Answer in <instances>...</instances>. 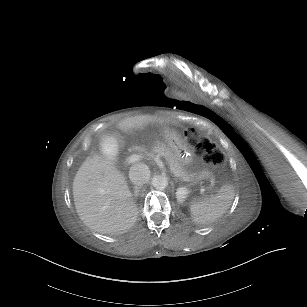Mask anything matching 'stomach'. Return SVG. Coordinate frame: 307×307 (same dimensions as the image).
<instances>
[{
	"mask_svg": "<svg viewBox=\"0 0 307 307\" xmlns=\"http://www.w3.org/2000/svg\"><path fill=\"white\" fill-rule=\"evenodd\" d=\"M164 135L178 162L184 168L188 176L194 178L196 173H194V168L192 167L194 159L193 149L188 144L187 139L178 131L169 128L164 129Z\"/></svg>",
	"mask_w": 307,
	"mask_h": 307,
	"instance_id": "1",
	"label": "stomach"
}]
</instances>
